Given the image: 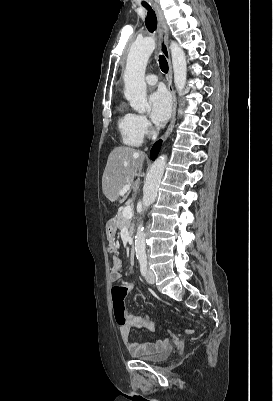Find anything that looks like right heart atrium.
Listing matches in <instances>:
<instances>
[{"instance_id":"obj_1","label":"right heart atrium","mask_w":273,"mask_h":401,"mask_svg":"<svg viewBox=\"0 0 273 401\" xmlns=\"http://www.w3.org/2000/svg\"><path fill=\"white\" fill-rule=\"evenodd\" d=\"M136 130L142 137H151L155 134V128L152 126L146 116L133 114Z\"/></svg>"}]
</instances>
